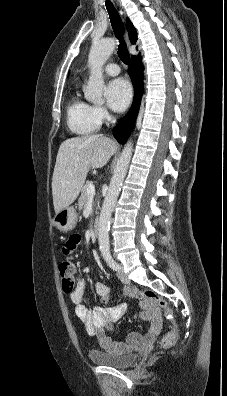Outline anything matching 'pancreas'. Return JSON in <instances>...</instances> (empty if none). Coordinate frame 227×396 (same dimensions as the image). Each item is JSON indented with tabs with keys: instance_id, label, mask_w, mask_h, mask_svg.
<instances>
[{
	"instance_id": "obj_1",
	"label": "pancreas",
	"mask_w": 227,
	"mask_h": 396,
	"mask_svg": "<svg viewBox=\"0 0 227 396\" xmlns=\"http://www.w3.org/2000/svg\"><path fill=\"white\" fill-rule=\"evenodd\" d=\"M90 185H93V183H92L91 181H87V182L84 184V186L82 187V189H81V196H80L79 201H78L79 209H83L84 206L86 205L87 199H88V197H89V195H88V193H87V188H88Z\"/></svg>"
}]
</instances>
